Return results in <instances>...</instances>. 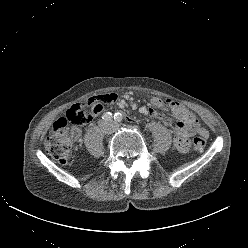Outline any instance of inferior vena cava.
I'll return each mask as SVG.
<instances>
[{"mask_svg":"<svg viewBox=\"0 0 248 248\" xmlns=\"http://www.w3.org/2000/svg\"><path fill=\"white\" fill-rule=\"evenodd\" d=\"M117 129V126L113 127V130H116Z\"/></svg>","mask_w":248,"mask_h":248,"instance_id":"inferior-vena-cava-1","label":"inferior vena cava"}]
</instances>
